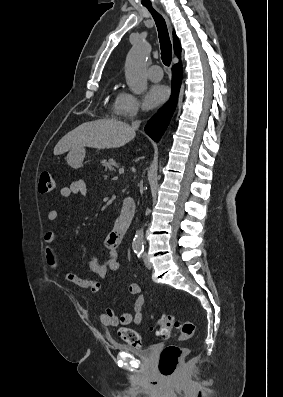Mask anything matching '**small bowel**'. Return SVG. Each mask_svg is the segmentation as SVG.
I'll list each match as a JSON object with an SVG mask.
<instances>
[{
	"label": "small bowel",
	"instance_id": "c3829d8e",
	"mask_svg": "<svg viewBox=\"0 0 283 397\" xmlns=\"http://www.w3.org/2000/svg\"><path fill=\"white\" fill-rule=\"evenodd\" d=\"M87 184L84 180H75L70 183L69 186L62 187L59 190L60 196L69 198L73 195L83 196L86 194ZM47 218L53 222L58 220L59 211L56 209L48 212ZM123 234L118 233L115 229L112 230L106 238V246L108 251L105 257H93L89 261V268L100 278L107 276L109 272L116 273L121 269V263L119 260V252L117 246L121 242ZM56 234L54 231H47L43 236L45 243L44 257L48 268L53 271L57 278H62L65 281L72 283L78 287L90 290L91 293H97L101 288V283L95 280L84 279L75 273H61L59 271L58 258L54 249V242ZM128 292L131 295L136 296L133 303L132 312H124L121 315H117L112 309L108 308L102 312L99 316L100 322L105 327H116L119 325L126 326L131 323L140 325L142 321V310L145 303V298L141 294V287L138 283H131L128 286Z\"/></svg>",
	"mask_w": 283,
	"mask_h": 397
}]
</instances>
